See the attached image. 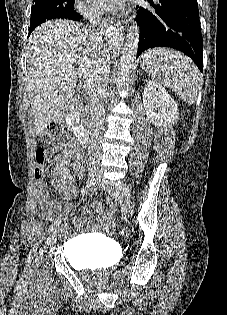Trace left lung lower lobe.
<instances>
[{"label": "left lung lower lobe", "mask_w": 227, "mask_h": 315, "mask_svg": "<svg viewBox=\"0 0 227 315\" xmlns=\"http://www.w3.org/2000/svg\"><path fill=\"white\" fill-rule=\"evenodd\" d=\"M153 10L140 7L137 57L145 50L166 46L177 49L195 62L203 72V40L197 0H159L157 6L146 0Z\"/></svg>", "instance_id": "obj_1"}]
</instances>
